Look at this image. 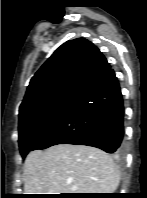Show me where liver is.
<instances>
[{
    "instance_id": "6515ba94",
    "label": "liver",
    "mask_w": 147,
    "mask_h": 198,
    "mask_svg": "<svg viewBox=\"0 0 147 198\" xmlns=\"http://www.w3.org/2000/svg\"><path fill=\"white\" fill-rule=\"evenodd\" d=\"M120 174L104 151L58 144L30 152L24 163L25 194L113 193Z\"/></svg>"
}]
</instances>
